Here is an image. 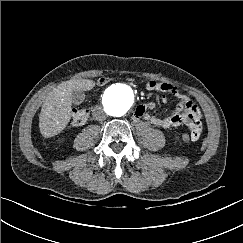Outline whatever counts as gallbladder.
<instances>
[{
    "label": "gallbladder",
    "mask_w": 243,
    "mask_h": 243,
    "mask_svg": "<svg viewBox=\"0 0 243 243\" xmlns=\"http://www.w3.org/2000/svg\"><path fill=\"white\" fill-rule=\"evenodd\" d=\"M84 100V94L81 91H74L72 93V102L76 105L82 103Z\"/></svg>",
    "instance_id": "bac80fb5"
}]
</instances>
